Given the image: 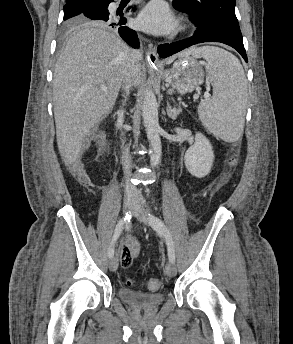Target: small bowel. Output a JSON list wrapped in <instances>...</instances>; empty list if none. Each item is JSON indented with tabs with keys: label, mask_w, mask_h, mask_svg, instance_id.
I'll use <instances>...</instances> for the list:
<instances>
[{
	"label": "small bowel",
	"mask_w": 293,
	"mask_h": 344,
	"mask_svg": "<svg viewBox=\"0 0 293 344\" xmlns=\"http://www.w3.org/2000/svg\"><path fill=\"white\" fill-rule=\"evenodd\" d=\"M140 243L134 237H128L120 248V260L123 267L128 268L132 261L140 255Z\"/></svg>",
	"instance_id": "c3829d8e"
}]
</instances>
